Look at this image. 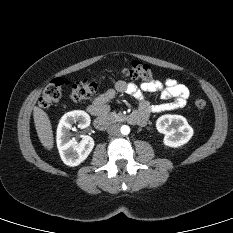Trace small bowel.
<instances>
[{"label":"small bowel","instance_id":"small-bowel-1","mask_svg":"<svg viewBox=\"0 0 233 233\" xmlns=\"http://www.w3.org/2000/svg\"><path fill=\"white\" fill-rule=\"evenodd\" d=\"M116 93H126L135 98L139 103L138 111L146 117L150 114L183 108L190 98L189 89L172 78H168L164 82H143L140 85L120 80L115 84L114 89H109L94 99L88 107L89 112L94 116L106 114L109 110V102ZM145 93H160L161 98L168 102L151 104L146 100Z\"/></svg>","mask_w":233,"mask_h":233}]
</instances>
